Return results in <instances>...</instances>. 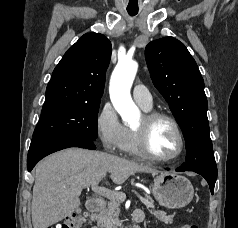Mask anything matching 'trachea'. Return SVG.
Here are the masks:
<instances>
[{
	"instance_id": "obj_1",
	"label": "trachea",
	"mask_w": 238,
	"mask_h": 228,
	"mask_svg": "<svg viewBox=\"0 0 238 228\" xmlns=\"http://www.w3.org/2000/svg\"><path fill=\"white\" fill-rule=\"evenodd\" d=\"M128 13L131 16H135L138 13V11H130V10H128Z\"/></svg>"
}]
</instances>
